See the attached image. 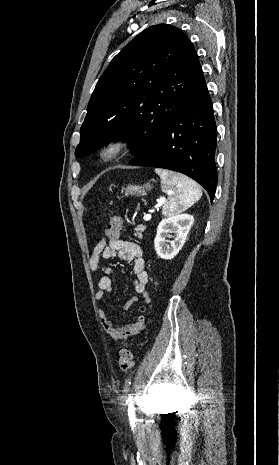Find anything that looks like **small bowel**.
<instances>
[{
    "label": "small bowel",
    "instance_id": "small-bowel-1",
    "mask_svg": "<svg viewBox=\"0 0 279 465\" xmlns=\"http://www.w3.org/2000/svg\"><path fill=\"white\" fill-rule=\"evenodd\" d=\"M101 258H118L122 261H132L133 273L135 275L133 283L134 290L137 294L142 296L146 303L151 302V297L146 291L149 275L145 269L143 252L139 245L121 239H107L106 234H103L100 241L94 247L89 259V266L92 271H96L99 268ZM112 271L110 267L104 269V275L99 279L95 291V298L97 300L103 299L106 293L112 291L113 284L110 277ZM137 301V297L130 298L124 305V309H129ZM138 313L139 316L135 322L125 326H117L112 322L108 314L101 311L100 320L105 334L115 342L125 341L130 336L138 335L144 329L146 308L143 306L140 307Z\"/></svg>",
    "mask_w": 279,
    "mask_h": 465
}]
</instances>
